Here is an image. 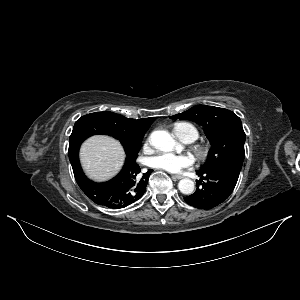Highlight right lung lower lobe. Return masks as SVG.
Segmentation results:
<instances>
[{"mask_svg": "<svg viewBox=\"0 0 300 300\" xmlns=\"http://www.w3.org/2000/svg\"><path fill=\"white\" fill-rule=\"evenodd\" d=\"M74 176L81 190L96 204L111 209L124 208L139 200L146 191L148 178L153 170L140 174L135 158H126L122 171L112 180L95 183L84 175L78 155L70 159Z\"/></svg>", "mask_w": 300, "mask_h": 300, "instance_id": "1", "label": "right lung lower lobe"}]
</instances>
